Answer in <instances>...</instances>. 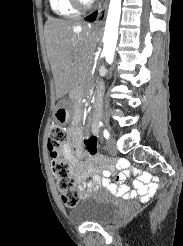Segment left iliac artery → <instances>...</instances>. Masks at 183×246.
<instances>
[{
	"instance_id": "obj_1",
	"label": "left iliac artery",
	"mask_w": 183,
	"mask_h": 246,
	"mask_svg": "<svg viewBox=\"0 0 183 246\" xmlns=\"http://www.w3.org/2000/svg\"><path fill=\"white\" fill-rule=\"evenodd\" d=\"M103 135H104V137H105L106 139H108L109 136H110L108 130H106V129L103 131Z\"/></svg>"
}]
</instances>
